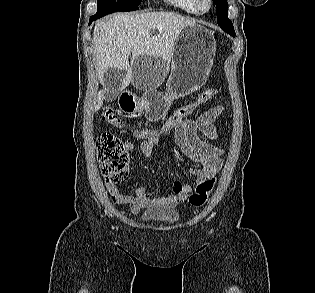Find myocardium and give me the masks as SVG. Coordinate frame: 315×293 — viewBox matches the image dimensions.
Returning <instances> with one entry per match:
<instances>
[{"label": "myocardium", "instance_id": "f54148a6", "mask_svg": "<svg viewBox=\"0 0 315 293\" xmlns=\"http://www.w3.org/2000/svg\"><path fill=\"white\" fill-rule=\"evenodd\" d=\"M196 7L200 14H206L213 7V0H195Z\"/></svg>", "mask_w": 315, "mask_h": 293}]
</instances>
